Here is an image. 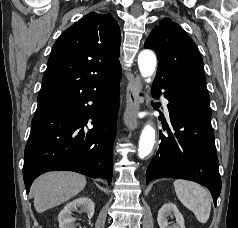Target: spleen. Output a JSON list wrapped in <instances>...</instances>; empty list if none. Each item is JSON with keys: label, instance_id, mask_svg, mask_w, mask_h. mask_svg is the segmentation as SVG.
Wrapping results in <instances>:
<instances>
[{"label": "spleen", "instance_id": "3e777b00", "mask_svg": "<svg viewBox=\"0 0 238 228\" xmlns=\"http://www.w3.org/2000/svg\"><path fill=\"white\" fill-rule=\"evenodd\" d=\"M174 188L181 203L191 210L200 223H206L211 211V194L203 186L183 179L174 181Z\"/></svg>", "mask_w": 238, "mask_h": 228}]
</instances>
